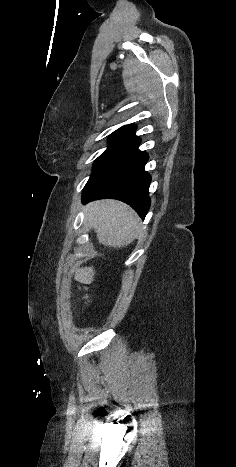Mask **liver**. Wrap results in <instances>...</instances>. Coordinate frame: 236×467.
<instances>
[{"label": "liver", "mask_w": 236, "mask_h": 467, "mask_svg": "<svg viewBox=\"0 0 236 467\" xmlns=\"http://www.w3.org/2000/svg\"><path fill=\"white\" fill-rule=\"evenodd\" d=\"M86 220L94 228L99 243L121 248L130 244L140 231V220L135 211L117 200H100L86 207ZM93 267L76 270L74 278L83 284L94 280Z\"/></svg>", "instance_id": "liver-1"}]
</instances>
